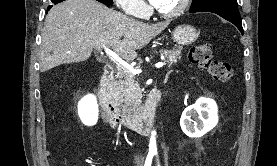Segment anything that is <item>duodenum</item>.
I'll list each match as a JSON object with an SVG mask.
<instances>
[{"label":"duodenum","instance_id":"obj_1","mask_svg":"<svg viewBox=\"0 0 277 166\" xmlns=\"http://www.w3.org/2000/svg\"><path fill=\"white\" fill-rule=\"evenodd\" d=\"M113 73V67L106 65L97 84V96L102 118L114 128L130 129L143 134L148 133L155 119L159 96L152 93L139 113H126L121 110L110 90Z\"/></svg>","mask_w":277,"mask_h":166}]
</instances>
